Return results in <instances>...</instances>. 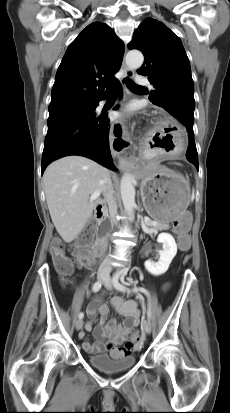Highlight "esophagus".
Segmentation results:
<instances>
[{"label":"esophagus","mask_w":230,"mask_h":413,"mask_svg":"<svg viewBox=\"0 0 230 413\" xmlns=\"http://www.w3.org/2000/svg\"><path fill=\"white\" fill-rule=\"evenodd\" d=\"M123 68H124L125 74H124V77H123L122 80H121V83H122L123 85H125L127 78H132V77H134V72L126 66L124 60H123ZM123 135H125V130H124V134H123ZM127 142H128V141H127V139H126V143H127ZM124 147H126V146H124ZM121 149L124 150L125 148H120V150H121ZM120 150H117V151H120ZM128 166H129V162H128L126 159H124V158H120V159H119V168H120V169L124 170V169H126Z\"/></svg>","instance_id":"esophagus-1"}]
</instances>
